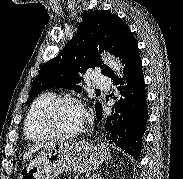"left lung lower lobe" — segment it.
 Listing matches in <instances>:
<instances>
[{"label":"left lung lower lobe","instance_id":"left-lung-lower-lobe-1","mask_svg":"<svg viewBox=\"0 0 183 179\" xmlns=\"http://www.w3.org/2000/svg\"><path fill=\"white\" fill-rule=\"evenodd\" d=\"M117 57L121 59L125 77L118 80L112 72L108 77L115 85L124 84L117 87L123 98L114 106L120 115L114 114V117H108L105 130L109 133L108 139L111 143L137 159L143 146L142 137L145 133L148 110L142 62L137 42L130 30L123 37ZM101 117L102 110L97 114V124L101 121Z\"/></svg>","mask_w":183,"mask_h":179}]
</instances>
